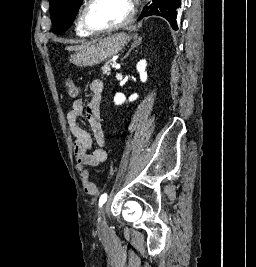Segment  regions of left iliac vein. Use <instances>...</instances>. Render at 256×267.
<instances>
[{
	"instance_id": "obj_1",
	"label": "left iliac vein",
	"mask_w": 256,
	"mask_h": 267,
	"mask_svg": "<svg viewBox=\"0 0 256 267\" xmlns=\"http://www.w3.org/2000/svg\"><path fill=\"white\" fill-rule=\"evenodd\" d=\"M105 211H106V206H103L100 209V214H99L98 228L100 230L105 229L107 227V223H106V220H105Z\"/></svg>"
}]
</instances>
